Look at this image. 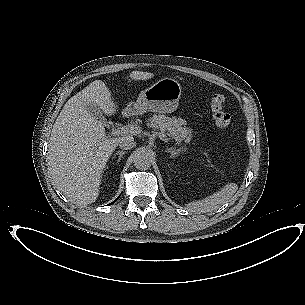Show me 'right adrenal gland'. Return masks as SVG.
<instances>
[{"instance_id":"obj_1","label":"right adrenal gland","mask_w":305,"mask_h":305,"mask_svg":"<svg viewBox=\"0 0 305 305\" xmlns=\"http://www.w3.org/2000/svg\"><path fill=\"white\" fill-rule=\"evenodd\" d=\"M125 153H126V152H124V151H117V152L114 154L113 158H115L116 155H118V160H117V163H118Z\"/></svg>"}]
</instances>
